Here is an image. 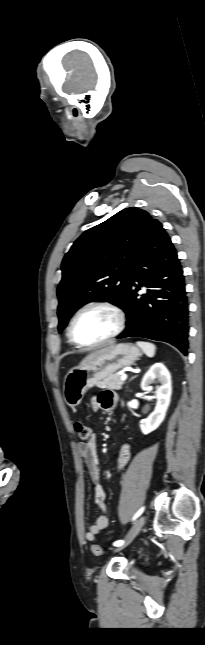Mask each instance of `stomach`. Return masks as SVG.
Segmentation results:
<instances>
[{
	"instance_id": "obj_1",
	"label": "stomach",
	"mask_w": 205,
	"mask_h": 645,
	"mask_svg": "<svg viewBox=\"0 0 205 645\" xmlns=\"http://www.w3.org/2000/svg\"><path fill=\"white\" fill-rule=\"evenodd\" d=\"M140 356L141 351L135 345L121 343L82 366L71 369L63 384L66 404L71 408L76 407L90 388L117 370L132 365Z\"/></svg>"
}]
</instances>
